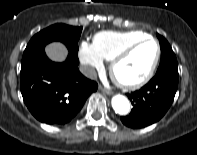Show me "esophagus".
<instances>
[{"label":"esophagus","mask_w":197,"mask_h":155,"mask_svg":"<svg viewBox=\"0 0 197 155\" xmlns=\"http://www.w3.org/2000/svg\"><path fill=\"white\" fill-rule=\"evenodd\" d=\"M99 90L104 93V94H107V95H110L112 94V92L106 88H104L102 85L99 86Z\"/></svg>","instance_id":"34e87169"}]
</instances>
